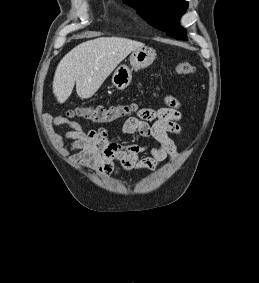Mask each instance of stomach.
I'll return each instance as SVG.
<instances>
[{
  "label": "stomach",
  "instance_id": "stomach-1",
  "mask_svg": "<svg viewBox=\"0 0 259 283\" xmlns=\"http://www.w3.org/2000/svg\"><path fill=\"white\" fill-rule=\"evenodd\" d=\"M156 57V52L150 47H141L132 51L129 60V68L126 65L119 66L112 75V84L119 90H123L130 84L132 80V71L143 69L153 63Z\"/></svg>",
  "mask_w": 259,
  "mask_h": 283
}]
</instances>
